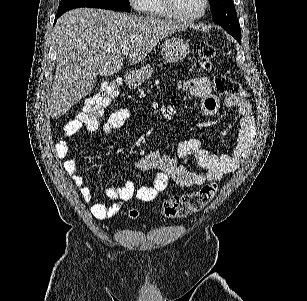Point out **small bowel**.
I'll return each instance as SVG.
<instances>
[{
	"label": "small bowel",
	"instance_id": "1",
	"mask_svg": "<svg viewBox=\"0 0 307 301\" xmlns=\"http://www.w3.org/2000/svg\"><path fill=\"white\" fill-rule=\"evenodd\" d=\"M180 87L200 100L199 107L202 113L214 115L219 111L221 100L212 93L210 83L206 78L200 77L183 81ZM224 105L228 108H237L240 114V128L232 154H212L197 139H188L179 143L177 158L161 155L157 151L148 152L138 161V166L145 170H157L153 184L140 189H136L132 181H128L122 186H110L106 189V196L114 203L93 202L92 189L85 184L84 178L77 174V165L73 159L64 161V170L79 188L82 199L91 203L90 213L98 220L111 218L119 211L123 202L133 197L144 202L154 200L170 183L182 187H192L203 185L206 181L221 180L226 174L237 170L245 161L255 135L254 114L248 101L238 96H228L224 99ZM129 114L127 108L113 111L102 125V133L106 136L122 128ZM81 126L79 118H73L64 125L62 137L55 146L56 155L60 159L68 157V139L75 135ZM190 154L196 156L204 172H196L181 164L180 160Z\"/></svg>",
	"mask_w": 307,
	"mask_h": 301
}]
</instances>
